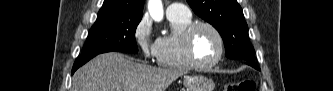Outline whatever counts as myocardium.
I'll list each match as a JSON object with an SVG mask.
<instances>
[{
	"label": "myocardium",
	"mask_w": 333,
	"mask_h": 91,
	"mask_svg": "<svg viewBox=\"0 0 333 91\" xmlns=\"http://www.w3.org/2000/svg\"><path fill=\"white\" fill-rule=\"evenodd\" d=\"M200 28L211 30L216 36L219 43V53L217 57L208 63L199 62L194 55V36ZM182 46L185 60L195 69L207 70L217 66L225 55V40L220 30L213 24L204 21L193 22L186 28L182 35Z\"/></svg>",
	"instance_id": "f54148a6"
}]
</instances>
